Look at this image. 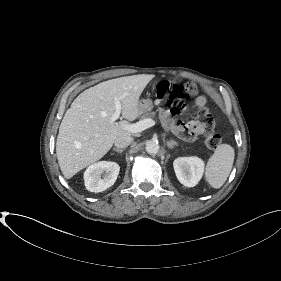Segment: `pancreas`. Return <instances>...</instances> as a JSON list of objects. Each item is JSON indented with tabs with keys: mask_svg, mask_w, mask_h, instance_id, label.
I'll return each instance as SVG.
<instances>
[{
	"mask_svg": "<svg viewBox=\"0 0 281 281\" xmlns=\"http://www.w3.org/2000/svg\"><path fill=\"white\" fill-rule=\"evenodd\" d=\"M155 117V112H146L141 116V119H146V118H154Z\"/></svg>",
	"mask_w": 281,
	"mask_h": 281,
	"instance_id": "1",
	"label": "pancreas"
}]
</instances>
